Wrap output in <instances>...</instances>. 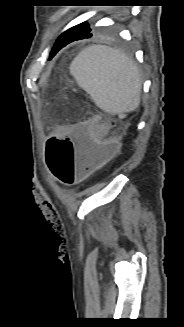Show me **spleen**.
<instances>
[{
  "mask_svg": "<svg viewBox=\"0 0 184 327\" xmlns=\"http://www.w3.org/2000/svg\"><path fill=\"white\" fill-rule=\"evenodd\" d=\"M79 87L110 114L135 110L140 104L141 76L134 61L120 50L93 45L70 65Z\"/></svg>",
  "mask_w": 184,
  "mask_h": 327,
  "instance_id": "3e777b00",
  "label": "spleen"
}]
</instances>
